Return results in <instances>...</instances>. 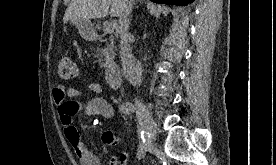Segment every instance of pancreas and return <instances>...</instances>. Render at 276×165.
Listing matches in <instances>:
<instances>
[{"instance_id": "1", "label": "pancreas", "mask_w": 276, "mask_h": 165, "mask_svg": "<svg viewBox=\"0 0 276 165\" xmlns=\"http://www.w3.org/2000/svg\"><path fill=\"white\" fill-rule=\"evenodd\" d=\"M96 57L98 58L101 67H107V65L114 59V45L110 44L106 48L98 51Z\"/></svg>"}]
</instances>
